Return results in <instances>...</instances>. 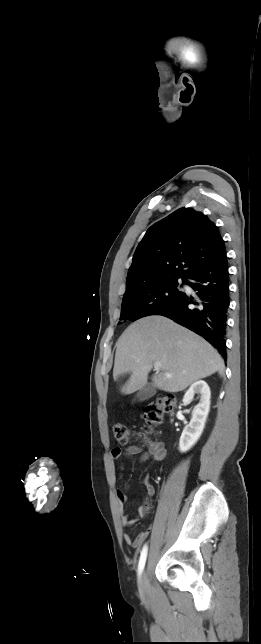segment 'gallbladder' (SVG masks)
I'll list each match as a JSON object with an SVG mask.
<instances>
[{
    "label": "gallbladder",
    "instance_id": "obj_1",
    "mask_svg": "<svg viewBox=\"0 0 261 644\" xmlns=\"http://www.w3.org/2000/svg\"><path fill=\"white\" fill-rule=\"evenodd\" d=\"M155 393L156 388L152 384L148 383L138 391L136 398L139 401H145L153 397Z\"/></svg>",
    "mask_w": 261,
    "mask_h": 644
}]
</instances>
